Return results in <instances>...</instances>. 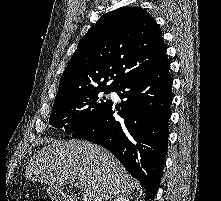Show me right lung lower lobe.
Instances as JSON below:
<instances>
[{"label":"right lung lower lobe","instance_id":"98d812e1","mask_svg":"<svg viewBox=\"0 0 221 201\" xmlns=\"http://www.w3.org/2000/svg\"><path fill=\"white\" fill-rule=\"evenodd\" d=\"M169 62L131 78L114 91L121 108L112 104L95 120L73 133L109 150L153 199L161 181L169 136L168 120L173 100ZM123 119L117 121L113 113Z\"/></svg>","mask_w":221,"mask_h":201}]
</instances>
